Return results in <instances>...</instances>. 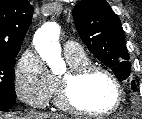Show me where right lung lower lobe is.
<instances>
[{"label": "right lung lower lobe", "instance_id": "98d812e1", "mask_svg": "<svg viewBox=\"0 0 142 119\" xmlns=\"http://www.w3.org/2000/svg\"><path fill=\"white\" fill-rule=\"evenodd\" d=\"M15 102L0 99V111H5V110L10 109L15 104Z\"/></svg>", "mask_w": 142, "mask_h": 119}]
</instances>
